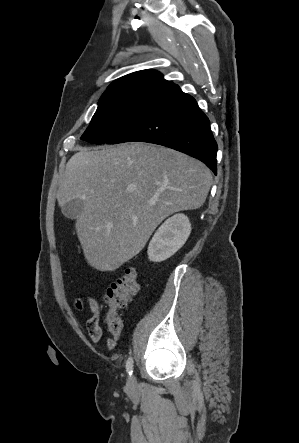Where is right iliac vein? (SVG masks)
Returning a JSON list of instances; mask_svg holds the SVG:
<instances>
[{
	"instance_id": "right-iliac-vein-1",
	"label": "right iliac vein",
	"mask_w": 299,
	"mask_h": 443,
	"mask_svg": "<svg viewBox=\"0 0 299 443\" xmlns=\"http://www.w3.org/2000/svg\"><path fill=\"white\" fill-rule=\"evenodd\" d=\"M127 386L129 387V389H134L136 386V380L134 376L129 377V379L127 380Z\"/></svg>"
}]
</instances>
